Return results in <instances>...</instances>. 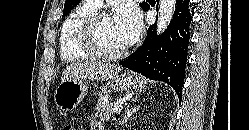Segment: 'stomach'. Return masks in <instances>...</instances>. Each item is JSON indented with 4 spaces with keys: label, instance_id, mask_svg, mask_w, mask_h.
<instances>
[{
    "label": "stomach",
    "instance_id": "obj_1",
    "mask_svg": "<svg viewBox=\"0 0 249 130\" xmlns=\"http://www.w3.org/2000/svg\"><path fill=\"white\" fill-rule=\"evenodd\" d=\"M109 85L116 91L141 90L144 88V80L135 74H117L109 80ZM87 91L88 86L82 80L63 81L55 90V104L63 112H70L83 100Z\"/></svg>",
    "mask_w": 249,
    "mask_h": 130
}]
</instances>
